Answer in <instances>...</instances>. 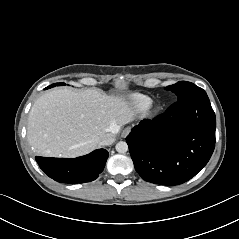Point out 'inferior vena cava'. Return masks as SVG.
Here are the masks:
<instances>
[{
  "label": "inferior vena cava",
  "instance_id": "inferior-vena-cava-1",
  "mask_svg": "<svg viewBox=\"0 0 239 239\" xmlns=\"http://www.w3.org/2000/svg\"><path fill=\"white\" fill-rule=\"evenodd\" d=\"M114 142V137L111 135H104L99 139V144L100 145H110Z\"/></svg>",
  "mask_w": 239,
  "mask_h": 239
}]
</instances>
